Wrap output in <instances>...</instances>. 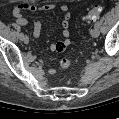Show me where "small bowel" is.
<instances>
[{
    "instance_id": "small-bowel-1",
    "label": "small bowel",
    "mask_w": 119,
    "mask_h": 119,
    "mask_svg": "<svg viewBox=\"0 0 119 119\" xmlns=\"http://www.w3.org/2000/svg\"><path fill=\"white\" fill-rule=\"evenodd\" d=\"M58 5L55 3H47L44 5H37V4H29V3H22L17 5L13 10V15L15 17V21L18 25L21 26H27L28 20L24 18L23 13L25 11H31V12H38V11H52L54 10ZM60 10L63 13L64 17L62 20V35L65 38L63 41L54 43L51 45V50L54 52H62L65 50V48L70 44L69 36H70V9L67 5L63 4L60 6ZM33 26V36L34 38L38 39L40 37L41 29H42V23L38 19H34L32 21ZM49 73L53 75L55 73L54 69H49Z\"/></svg>"
}]
</instances>
